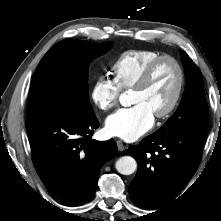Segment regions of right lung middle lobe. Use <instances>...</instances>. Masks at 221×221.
Listing matches in <instances>:
<instances>
[{"label":"right lung middle lobe","mask_w":221,"mask_h":221,"mask_svg":"<svg viewBox=\"0 0 221 221\" xmlns=\"http://www.w3.org/2000/svg\"><path fill=\"white\" fill-rule=\"evenodd\" d=\"M111 42L92 44L65 39L42 58L31 83L27 115L54 111L71 116H95L88 94V69Z\"/></svg>","instance_id":"obj_1"}]
</instances>
